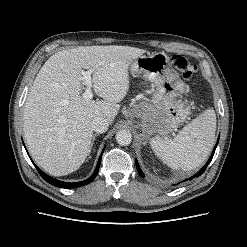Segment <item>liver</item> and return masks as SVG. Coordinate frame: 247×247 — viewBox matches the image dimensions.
<instances>
[{"label":"liver","mask_w":247,"mask_h":247,"mask_svg":"<svg viewBox=\"0 0 247 247\" xmlns=\"http://www.w3.org/2000/svg\"><path fill=\"white\" fill-rule=\"evenodd\" d=\"M145 50L129 46H81L53 54L29 91L23 114L27 147L53 176L76 171L91 152L92 120L112 123L129 90V66ZM83 69L103 100L85 99Z\"/></svg>","instance_id":"obj_1"}]
</instances>
